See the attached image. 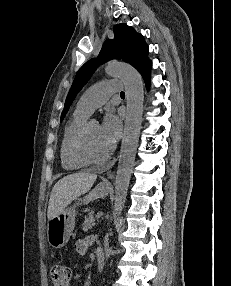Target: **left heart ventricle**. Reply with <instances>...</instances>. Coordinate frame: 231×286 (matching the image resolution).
<instances>
[{"instance_id":"obj_1","label":"left heart ventricle","mask_w":231,"mask_h":286,"mask_svg":"<svg viewBox=\"0 0 231 286\" xmlns=\"http://www.w3.org/2000/svg\"><path fill=\"white\" fill-rule=\"evenodd\" d=\"M111 146L102 134L100 125L97 122H92L84 140L86 154L91 158L99 159L108 153Z\"/></svg>"}]
</instances>
